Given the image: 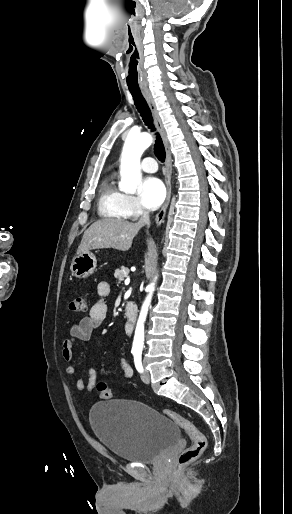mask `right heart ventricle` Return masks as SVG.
Returning a JSON list of instances; mask_svg holds the SVG:
<instances>
[{
    "mask_svg": "<svg viewBox=\"0 0 292 514\" xmlns=\"http://www.w3.org/2000/svg\"><path fill=\"white\" fill-rule=\"evenodd\" d=\"M98 213L103 218L122 219L128 213L126 194L115 186L113 174H108L98 188Z\"/></svg>",
    "mask_w": 292,
    "mask_h": 514,
    "instance_id": "right-heart-ventricle-1",
    "label": "right heart ventricle"
}]
</instances>
